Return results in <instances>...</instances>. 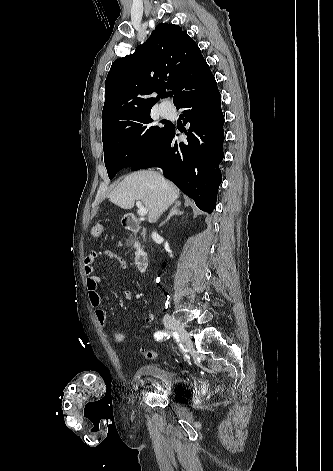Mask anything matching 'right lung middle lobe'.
I'll return each instance as SVG.
<instances>
[{
    "instance_id": "right-lung-middle-lobe-1",
    "label": "right lung middle lobe",
    "mask_w": 333,
    "mask_h": 471,
    "mask_svg": "<svg viewBox=\"0 0 333 471\" xmlns=\"http://www.w3.org/2000/svg\"><path fill=\"white\" fill-rule=\"evenodd\" d=\"M152 122L149 110L102 132L104 161L110 179L122 168L143 160L161 142L170 125L158 127Z\"/></svg>"
}]
</instances>
